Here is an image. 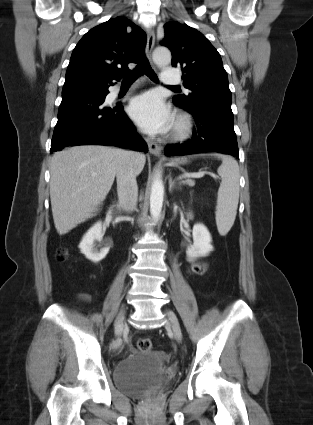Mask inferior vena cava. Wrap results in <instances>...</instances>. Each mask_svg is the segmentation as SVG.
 Returning <instances> with one entry per match:
<instances>
[{
    "label": "inferior vena cava",
    "instance_id": "inferior-vena-cava-1",
    "mask_svg": "<svg viewBox=\"0 0 313 425\" xmlns=\"http://www.w3.org/2000/svg\"><path fill=\"white\" fill-rule=\"evenodd\" d=\"M135 159L136 153L123 152L116 171L119 206L127 212L136 208L138 199Z\"/></svg>",
    "mask_w": 313,
    "mask_h": 425
}]
</instances>
